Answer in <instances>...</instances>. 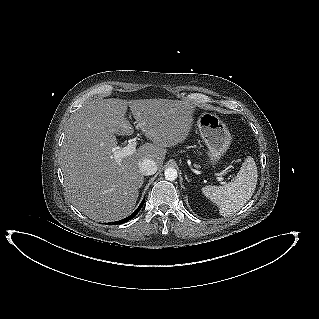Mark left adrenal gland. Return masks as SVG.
Listing matches in <instances>:
<instances>
[{"label":"left adrenal gland","instance_id":"1","mask_svg":"<svg viewBox=\"0 0 319 319\" xmlns=\"http://www.w3.org/2000/svg\"><path fill=\"white\" fill-rule=\"evenodd\" d=\"M185 178H186L187 181H189L188 178H187V175H185Z\"/></svg>","mask_w":319,"mask_h":319}]
</instances>
